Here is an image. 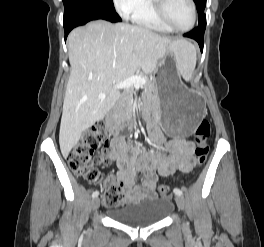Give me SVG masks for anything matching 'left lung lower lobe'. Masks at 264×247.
<instances>
[{
    "label": "left lung lower lobe",
    "instance_id": "obj_1",
    "mask_svg": "<svg viewBox=\"0 0 264 247\" xmlns=\"http://www.w3.org/2000/svg\"><path fill=\"white\" fill-rule=\"evenodd\" d=\"M205 28L206 26H198L189 33L184 34L185 37H189L196 40L200 46L201 51H203V39Z\"/></svg>",
    "mask_w": 264,
    "mask_h": 247
}]
</instances>
